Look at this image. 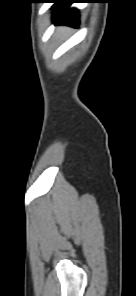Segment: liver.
I'll use <instances>...</instances> for the list:
<instances>
[{"label":"liver","mask_w":136,"mask_h":296,"mask_svg":"<svg viewBox=\"0 0 136 296\" xmlns=\"http://www.w3.org/2000/svg\"><path fill=\"white\" fill-rule=\"evenodd\" d=\"M59 31H62V32H67L68 29H59Z\"/></svg>","instance_id":"6515ba94"}]
</instances>
